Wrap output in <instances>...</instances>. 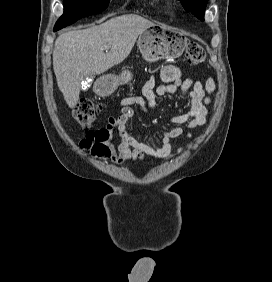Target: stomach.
I'll use <instances>...</instances> for the list:
<instances>
[{"label":"stomach","mask_w":272,"mask_h":282,"mask_svg":"<svg viewBox=\"0 0 272 282\" xmlns=\"http://www.w3.org/2000/svg\"><path fill=\"white\" fill-rule=\"evenodd\" d=\"M187 39L174 29L160 24H153L138 37L137 45L142 57L147 62L161 59H175L182 55ZM133 75L128 69L120 75L109 74L102 78L101 92L110 94L121 84L131 81Z\"/></svg>","instance_id":"stomach-1"}]
</instances>
